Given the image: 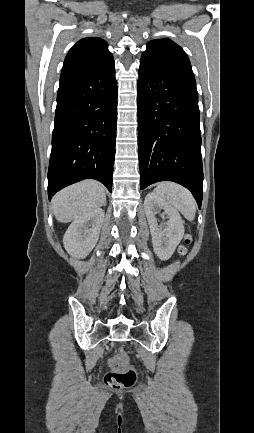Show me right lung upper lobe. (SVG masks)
Masks as SVG:
<instances>
[{
	"label": "right lung upper lobe",
	"instance_id": "cb5924a9",
	"mask_svg": "<svg viewBox=\"0 0 254 433\" xmlns=\"http://www.w3.org/2000/svg\"><path fill=\"white\" fill-rule=\"evenodd\" d=\"M113 61L106 41L97 37L83 38L69 50L61 76L97 70Z\"/></svg>",
	"mask_w": 254,
	"mask_h": 433
}]
</instances>
